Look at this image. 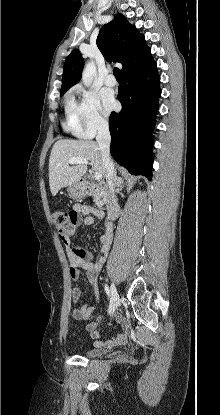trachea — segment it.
<instances>
[{
  "instance_id": "obj_1",
  "label": "trachea",
  "mask_w": 220,
  "mask_h": 415,
  "mask_svg": "<svg viewBox=\"0 0 220 415\" xmlns=\"http://www.w3.org/2000/svg\"><path fill=\"white\" fill-rule=\"evenodd\" d=\"M113 74L116 77V79H121V71L118 68H114Z\"/></svg>"
}]
</instances>
